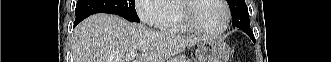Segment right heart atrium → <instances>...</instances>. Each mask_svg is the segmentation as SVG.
<instances>
[{"label": "right heart atrium", "mask_w": 331, "mask_h": 62, "mask_svg": "<svg viewBox=\"0 0 331 62\" xmlns=\"http://www.w3.org/2000/svg\"><path fill=\"white\" fill-rule=\"evenodd\" d=\"M164 0H137L136 12L145 24L159 27L163 21V16L159 14V9L165 3Z\"/></svg>", "instance_id": "right-heart-atrium-1"}]
</instances>
